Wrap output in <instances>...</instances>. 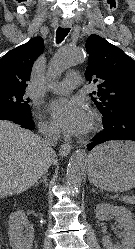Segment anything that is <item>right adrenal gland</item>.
<instances>
[{
	"label": "right adrenal gland",
	"mask_w": 135,
	"mask_h": 249,
	"mask_svg": "<svg viewBox=\"0 0 135 249\" xmlns=\"http://www.w3.org/2000/svg\"><path fill=\"white\" fill-rule=\"evenodd\" d=\"M38 183H44L46 187L48 186V183H47V173L46 172L43 174V178L41 180H39Z\"/></svg>",
	"instance_id": "right-adrenal-gland-1"
}]
</instances>
